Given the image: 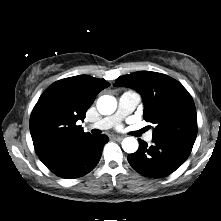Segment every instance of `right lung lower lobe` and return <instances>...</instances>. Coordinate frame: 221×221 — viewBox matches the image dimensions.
Listing matches in <instances>:
<instances>
[{
    "instance_id": "obj_1",
    "label": "right lung lower lobe",
    "mask_w": 221,
    "mask_h": 221,
    "mask_svg": "<svg viewBox=\"0 0 221 221\" xmlns=\"http://www.w3.org/2000/svg\"><path fill=\"white\" fill-rule=\"evenodd\" d=\"M109 138L102 134L89 136L75 146L58 163L49 169L59 177L74 179L89 173L98 164L102 149Z\"/></svg>"
}]
</instances>
